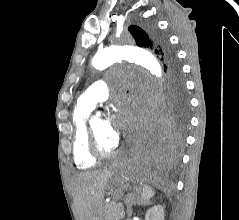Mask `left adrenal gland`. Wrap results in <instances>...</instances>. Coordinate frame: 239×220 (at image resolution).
<instances>
[{"label":"left adrenal gland","mask_w":239,"mask_h":220,"mask_svg":"<svg viewBox=\"0 0 239 220\" xmlns=\"http://www.w3.org/2000/svg\"><path fill=\"white\" fill-rule=\"evenodd\" d=\"M125 204L127 206V215L128 217L132 216L133 213V209L132 206H136V205H147L150 202L149 201H142L139 197L136 196H132V195H127L125 197Z\"/></svg>","instance_id":"a2214340"}]
</instances>
